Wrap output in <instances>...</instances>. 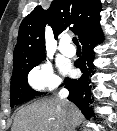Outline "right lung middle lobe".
Here are the masks:
<instances>
[{"mask_svg": "<svg viewBox=\"0 0 117 131\" xmlns=\"http://www.w3.org/2000/svg\"><path fill=\"white\" fill-rule=\"evenodd\" d=\"M45 59V58H43ZM42 60V59H41ZM41 60H38L31 64H26L18 66L13 69L11 78V92H10V102L11 107L26 101L33 99L35 96L40 95V92L34 91L27 82L28 72L38 65Z\"/></svg>", "mask_w": 117, "mask_h": 131, "instance_id": "obj_1", "label": "right lung middle lobe"}]
</instances>
